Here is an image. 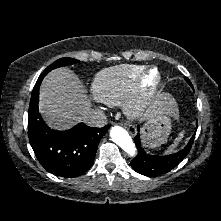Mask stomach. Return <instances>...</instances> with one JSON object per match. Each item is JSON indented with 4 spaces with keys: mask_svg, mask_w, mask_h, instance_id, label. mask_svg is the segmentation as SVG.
<instances>
[{
    "mask_svg": "<svg viewBox=\"0 0 221 221\" xmlns=\"http://www.w3.org/2000/svg\"><path fill=\"white\" fill-rule=\"evenodd\" d=\"M171 99L166 93H161L155 98L147 121L141 128L142 142L148 148L161 146L169 137L172 124L167 105Z\"/></svg>",
    "mask_w": 221,
    "mask_h": 221,
    "instance_id": "obj_1",
    "label": "stomach"
}]
</instances>
